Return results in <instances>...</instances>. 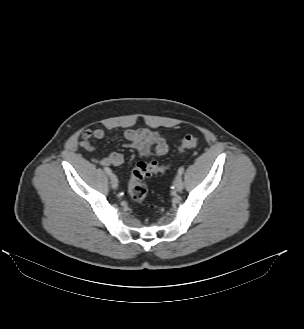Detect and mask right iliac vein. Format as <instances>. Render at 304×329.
Instances as JSON below:
<instances>
[{
	"instance_id": "right-iliac-vein-1",
	"label": "right iliac vein",
	"mask_w": 304,
	"mask_h": 329,
	"mask_svg": "<svg viewBox=\"0 0 304 329\" xmlns=\"http://www.w3.org/2000/svg\"><path fill=\"white\" fill-rule=\"evenodd\" d=\"M110 183H111L112 188L116 189L118 187V180H117L116 176L113 174L110 176Z\"/></svg>"
}]
</instances>
